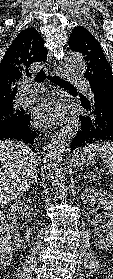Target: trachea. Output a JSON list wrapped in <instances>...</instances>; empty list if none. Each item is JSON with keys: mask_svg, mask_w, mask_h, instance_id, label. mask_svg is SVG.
<instances>
[{"mask_svg": "<svg viewBox=\"0 0 113 279\" xmlns=\"http://www.w3.org/2000/svg\"><path fill=\"white\" fill-rule=\"evenodd\" d=\"M46 78L62 88L75 89L74 86L70 85L68 82L64 81L63 79L59 78L58 76L47 75L43 69H41L40 72H38V74L35 77V81L42 82Z\"/></svg>", "mask_w": 113, "mask_h": 279, "instance_id": "3493384b", "label": "trachea"}]
</instances>
